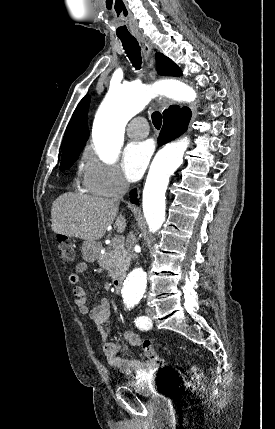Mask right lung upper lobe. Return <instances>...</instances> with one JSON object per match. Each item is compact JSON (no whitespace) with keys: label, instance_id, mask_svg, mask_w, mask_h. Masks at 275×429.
Instances as JSON below:
<instances>
[{"label":"right lung upper lobe","instance_id":"right-lung-upper-lobe-1","mask_svg":"<svg viewBox=\"0 0 275 429\" xmlns=\"http://www.w3.org/2000/svg\"><path fill=\"white\" fill-rule=\"evenodd\" d=\"M89 97H85L78 104L73 116L66 128L63 143L61 145L62 158L68 155L80 153L89 137L87 125V112Z\"/></svg>","mask_w":275,"mask_h":429}]
</instances>
